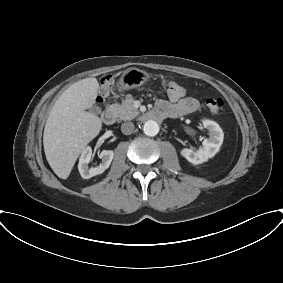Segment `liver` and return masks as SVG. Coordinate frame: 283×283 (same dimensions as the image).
<instances>
[{"mask_svg": "<svg viewBox=\"0 0 283 283\" xmlns=\"http://www.w3.org/2000/svg\"><path fill=\"white\" fill-rule=\"evenodd\" d=\"M96 78H85L66 89L54 104L44 128L46 159L61 179H67L82 150L99 134L101 119L87 109L98 94Z\"/></svg>", "mask_w": 283, "mask_h": 283, "instance_id": "1", "label": "liver"}]
</instances>
